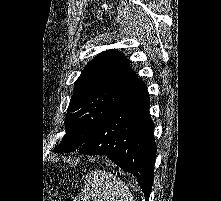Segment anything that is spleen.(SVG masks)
Instances as JSON below:
<instances>
[{"label": "spleen", "mask_w": 221, "mask_h": 201, "mask_svg": "<svg viewBox=\"0 0 221 201\" xmlns=\"http://www.w3.org/2000/svg\"><path fill=\"white\" fill-rule=\"evenodd\" d=\"M74 201H133L129 187L112 173L90 172L84 187Z\"/></svg>", "instance_id": "3e777b00"}]
</instances>
